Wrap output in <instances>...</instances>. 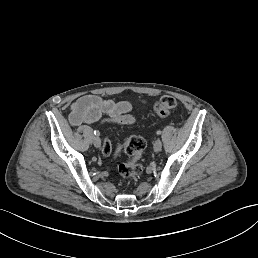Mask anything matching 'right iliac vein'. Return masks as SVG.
<instances>
[{"instance_id":"1","label":"right iliac vein","mask_w":258,"mask_h":258,"mask_svg":"<svg viewBox=\"0 0 258 258\" xmlns=\"http://www.w3.org/2000/svg\"><path fill=\"white\" fill-rule=\"evenodd\" d=\"M93 143H94V145L97 146V147L100 146L101 143H102L101 140H100V137H99V136H94V137H93Z\"/></svg>"}]
</instances>
